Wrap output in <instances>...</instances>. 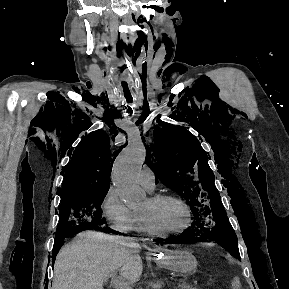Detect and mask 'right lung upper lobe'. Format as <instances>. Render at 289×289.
I'll list each match as a JSON object with an SVG mask.
<instances>
[{
	"label": "right lung upper lobe",
	"mask_w": 289,
	"mask_h": 289,
	"mask_svg": "<svg viewBox=\"0 0 289 289\" xmlns=\"http://www.w3.org/2000/svg\"><path fill=\"white\" fill-rule=\"evenodd\" d=\"M109 138L97 130L81 141L64 172L61 197L72 194L108 190L113 160L108 144Z\"/></svg>",
	"instance_id": "cb5924a9"
}]
</instances>
